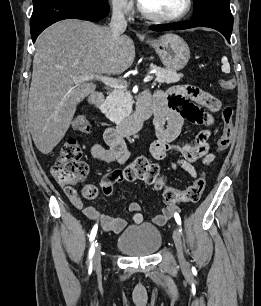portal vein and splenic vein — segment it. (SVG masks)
<instances>
[{
    "mask_svg": "<svg viewBox=\"0 0 261 306\" xmlns=\"http://www.w3.org/2000/svg\"><path fill=\"white\" fill-rule=\"evenodd\" d=\"M152 79H153V76L149 75V76L144 78V83L149 82ZM73 80H74V82L99 80V81L103 82L105 85H107L109 87H112V88H123V87L127 86V83L125 81L110 78L108 76L95 75V74L74 76Z\"/></svg>",
    "mask_w": 261,
    "mask_h": 306,
    "instance_id": "obj_1",
    "label": "portal vein and splenic vein"
}]
</instances>
